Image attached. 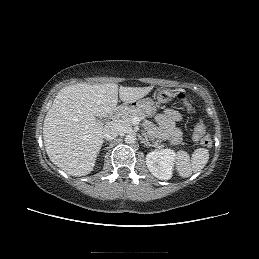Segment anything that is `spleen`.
Masks as SVG:
<instances>
[{"label":"spleen","instance_id":"obj_1","mask_svg":"<svg viewBox=\"0 0 259 259\" xmlns=\"http://www.w3.org/2000/svg\"><path fill=\"white\" fill-rule=\"evenodd\" d=\"M209 159V150L206 148L196 149L190 159L186 152L180 151L177 154L176 167L178 174L185 178L192 175V172H198L205 167Z\"/></svg>","mask_w":259,"mask_h":259}]
</instances>
